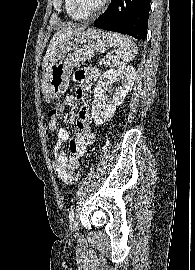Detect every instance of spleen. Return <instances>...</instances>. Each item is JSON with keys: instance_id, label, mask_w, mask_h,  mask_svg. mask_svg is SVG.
Masks as SVG:
<instances>
[{"instance_id": "spleen-1", "label": "spleen", "mask_w": 195, "mask_h": 270, "mask_svg": "<svg viewBox=\"0 0 195 270\" xmlns=\"http://www.w3.org/2000/svg\"><path fill=\"white\" fill-rule=\"evenodd\" d=\"M113 47L116 49V56L113 60L115 65H125L137 54V46L130 37L115 32H107Z\"/></svg>"}]
</instances>
